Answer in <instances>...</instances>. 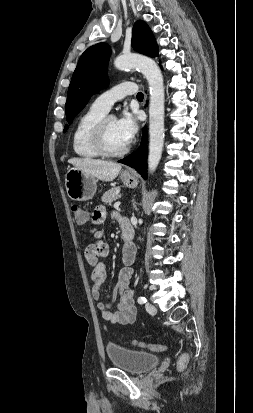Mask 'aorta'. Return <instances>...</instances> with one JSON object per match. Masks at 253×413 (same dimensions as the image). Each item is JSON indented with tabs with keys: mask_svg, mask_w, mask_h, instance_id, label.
<instances>
[{
	"mask_svg": "<svg viewBox=\"0 0 253 413\" xmlns=\"http://www.w3.org/2000/svg\"><path fill=\"white\" fill-rule=\"evenodd\" d=\"M114 65L119 70L138 69L150 88L148 172L153 173L162 156L164 146V82L157 63L143 55H120Z\"/></svg>",
	"mask_w": 253,
	"mask_h": 413,
	"instance_id": "762f6f07",
	"label": "aorta"
}]
</instances>
